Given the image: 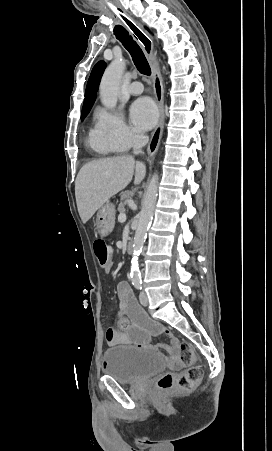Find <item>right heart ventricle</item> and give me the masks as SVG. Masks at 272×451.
I'll list each match as a JSON object with an SVG mask.
<instances>
[{
    "label": "right heart ventricle",
    "instance_id": "right-heart-ventricle-1",
    "mask_svg": "<svg viewBox=\"0 0 272 451\" xmlns=\"http://www.w3.org/2000/svg\"><path fill=\"white\" fill-rule=\"evenodd\" d=\"M89 142L91 147L101 154L113 153L118 148L110 140L103 137L97 128L91 131Z\"/></svg>",
    "mask_w": 272,
    "mask_h": 451
}]
</instances>
